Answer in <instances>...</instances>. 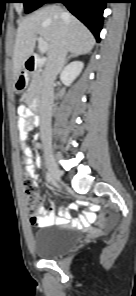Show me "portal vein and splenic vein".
<instances>
[{
    "label": "portal vein and splenic vein",
    "mask_w": 136,
    "mask_h": 296,
    "mask_svg": "<svg viewBox=\"0 0 136 296\" xmlns=\"http://www.w3.org/2000/svg\"><path fill=\"white\" fill-rule=\"evenodd\" d=\"M38 44L41 53H46L48 51L49 45L42 37H38Z\"/></svg>",
    "instance_id": "18ae733b"
}]
</instances>
